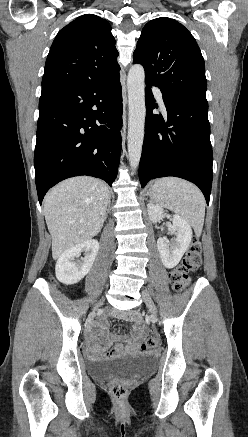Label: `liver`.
<instances>
[{"label":"liver","instance_id":"liver-1","mask_svg":"<svg viewBox=\"0 0 248 437\" xmlns=\"http://www.w3.org/2000/svg\"><path fill=\"white\" fill-rule=\"evenodd\" d=\"M109 202L107 186L89 176L67 179L47 193L44 215L52 236L53 259L100 232Z\"/></svg>","mask_w":248,"mask_h":437}]
</instances>
